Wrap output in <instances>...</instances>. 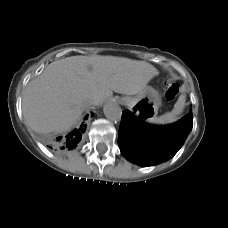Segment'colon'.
Instances as JSON below:
<instances>
[{"instance_id": "obj_1", "label": "colon", "mask_w": 228, "mask_h": 228, "mask_svg": "<svg viewBox=\"0 0 228 228\" xmlns=\"http://www.w3.org/2000/svg\"><path fill=\"white\" fill-rule=\"evenodd\" d=\"M179 93V86L178 84H176L175 82H172L171 80H168L167 84H166V98L168 100H173L176 98V96Z\"/></svg>"}]
</instances>
